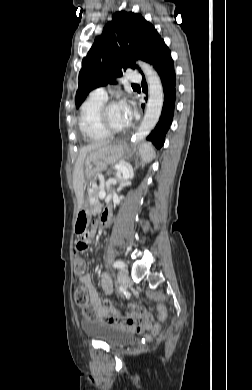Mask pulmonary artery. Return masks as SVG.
<instances>
[{
  "mask_svg": "<svg viewBox=\"0 0 252 390\" xmlns=\"http://www.w3.org/2000/svg\"><path fill=\"white\" fill-rule=\"evenodd\" d=\"M141 77L138 73H135L133 71H130L129 74H128V80L131 81V82H138L140 81ZM91 95L92 96H95V97H100V98H104L106 99L107 95H106V91L103 87H99V88H96L94 89L92 92H91Z\"/></svg>",
  "mask_w": 252,
  "mask_h": 390,
  "instance_id": "pulmonary-artery-1",
  "label": "pulmonary artery"
}]
</instances>
